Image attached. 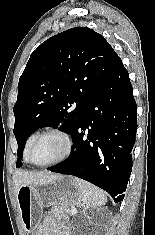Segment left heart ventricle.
Here are the masks:
<instances>
[{
    "label": "left heart ventricle",
    "instance_id": "b2bd125f",
    "mask_svg": "<svg viewBox=\"0 0 155 235\" xmlns=\"http://www.w3.org/2000/svg\"><path fill=\"white\" fill-rule=\"evenodd\" d=\"M65 150V141L56 134L43 136L33 145L30 158L33 162L44 164L59 158Z\"/></svg>",
    "mask_w": 155,
    "mask_h": 235
}]
</instances>
